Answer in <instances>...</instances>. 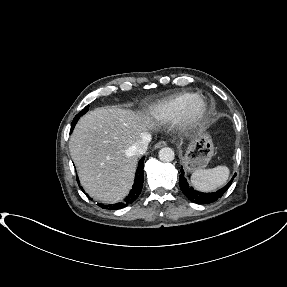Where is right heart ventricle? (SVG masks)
I'll return each mask as SVG.
<instances>
[{"mask_svg":"<svg viewBox=\"0 0 287 287\" xmlns=\"http://www.w3.org/2000/svg\"><path fill=\"white\" fill-rule=\"evenodd\" d=\"M196 95L192 92H183L164 97L147 108L148 114L157 122L176 119L185 105Z\"/></svg>","mask_w":287,"mask_h":287,"instance_id":"obj_1","label":"right heart ventricle"}]
</instances>
